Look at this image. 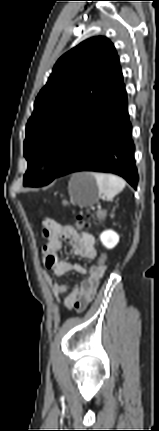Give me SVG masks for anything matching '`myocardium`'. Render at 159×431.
Here are the masks:
<instances>
[{
	"instance_id": "myocardium-1",
	"label": "myocardium",
	"mask_w": 159,
	"mask_h": 431,
	"mask_svg": "<svg viewBox=\"0 0 159 431\" xmlns=\"http://www.w3.org/2000/svg\"><path fill=\"white\" fill-rule=\"evenodd\" d=\"M50 155L49 154H45V155H43V157H42V164L44 165V166H47L48 164H49V162H50Z\"/></svg>"
}]
</instances>
